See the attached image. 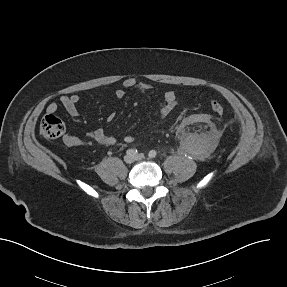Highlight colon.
I'll return each instance as SVG.
<instances>
[{
	"instance_id": "colon-1",
	"label": "colon",
	"mask_w": 287,
	"mask_h": 287,
	"mask_svg": "<svg viewBox=\"0 0 287 287\" xmlns=\"http://www.w3.org/2000/svg\"><path fill=\"white\" fill-rule=\"evenodd\" d=\"M211 110L215 115L224 113V106L219 102L211 103ZM65 132V126L61 119L50 113L43 117L40 123V133L47 139H56L61 137Z\"/></svg>"
}]
</instances>
